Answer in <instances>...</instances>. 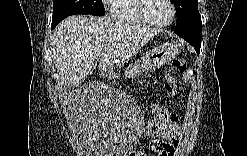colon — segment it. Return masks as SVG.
I'll return each mask as SVG.
<instances>
[{"instance_id": "5ec220e1", "label": "colon", "mask_w": 247, "mask_h": 156, "mask_svg": "<svg viewBox=\"0 0 247 156\" xmlns=\"http://www.w3.org/2000/svg\"><path fill=\"white\" fill-rule=\"evenodd\" d=\"M186 69V58L183 55L177 56L173 59L166 75L164 88L169 97L177 95L178 87L174 75L183 72ZM150 116H147V125L149 126L144 130V136L147 139L156 138L159 135V130H163L165 118L167 113L170 112V107H151Z\"/></svg>"}]
</instances>
